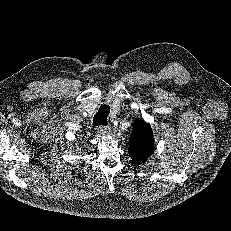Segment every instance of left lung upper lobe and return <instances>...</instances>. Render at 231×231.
Returning <instances> with one entry per match:
<instances>
[{"instance_id":"left-lung-upper-lobe-1","label":"left lung upper lobe","mask_w":231,"mask_h":231,"mask_svg":"<svg viewBox=\"0 0 231 231\" xmlns=\"http://www.w3.org/2000/svg\"><path fill=\"white\" fill-rule=\"evenodd\" d=\"M154 151L152 129L149 124L136 120L128 152L136 164H142Z\"/></svg>"}]
</instances>
